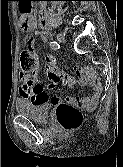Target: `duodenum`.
Masks as SVG:
<instances>
[{"instance_id":"410a0bca","label":"duodenum","mask_w":123,"mask_h":167,"mask_svg":"<svg viewBox=\"0 0 123 167\" xmlns=\"http://www.w3.org/2000/svg\"><path fill=\"white\" fill-rule=\"evenodd\" d=\"M42 1V0H41ZM49 14L46 10L40 11V25L46 27L48 25Z\"/></svg>"}]
</instances>
